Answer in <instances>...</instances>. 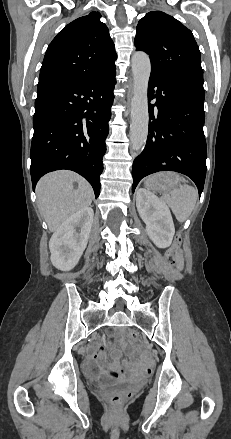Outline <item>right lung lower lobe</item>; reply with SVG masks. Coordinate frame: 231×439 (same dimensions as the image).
I'll return each instance as SVG.
<instances>
[{"mask_svg": "<svg viewBox=\"0 0 231 439\" xmlns=\"http://www.w3.org/2000/svg\"><path fill=\"white\" fill-rule=\"evenodd\" d=\"M115 75L113 66L84 83L38 92L30 153L33 189L44 174L69 169L99 196Z\"/></svg>", "mask_w": 231, "mask_h": 439, "instance_id": "1", "label": "right lung lower lobe"}]
</instances>
